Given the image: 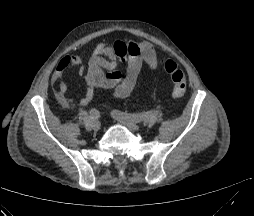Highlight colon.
Returning a JSON list of instances; mask_svg holds the SVG:
<instances>
[{
    "label": "colon",
    "instance_id": "5ec220e1",
    "mask_svg": "<svg viewBox=\"0 0 254 216\" xmlns=\"http://www.w3.org/2000/svg\"><path fill=\"white\" fill-rule=\"evenodd\" d=\"M159 64L170 77L172 83V97L180 100L186 92V80L183 72L173 60L160 59Z\"/></svg>",
    "mask_w": 254,
    "mask_h": 216
}]
</instances>
